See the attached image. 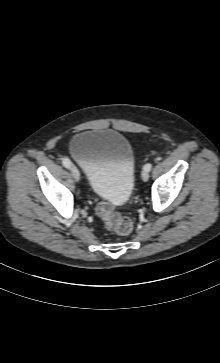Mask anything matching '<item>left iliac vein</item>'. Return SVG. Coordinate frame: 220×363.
I'll return each instance as SVG.
<instances>
[{"label":"left iliac vein","instance_id":"4c4485c4","mask_svg":"<svg viewBox=\"0 0 220 363\" xmlns=\"http://www.w3.org/2000/svg\"><path fill=\"white\" fill-rule=\"evenodd\" d=\"M141 177L143 181H148L149 179V171L143 169L142 173H141Z\"/></svg>","mask_w":220,"mask_h":363}]
</instances>
